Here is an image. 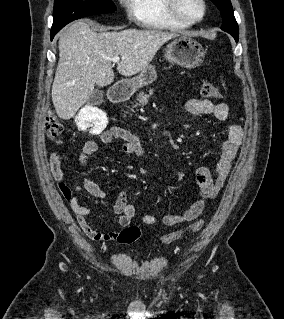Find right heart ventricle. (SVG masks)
<instances>
[{
    "label": "right heart ventricle",
    "mask_w": 284,
    "mask_h": 319,
    "mask_svg": "<svg viewBox=\"0 0 284 319\" xmlns=\"http://www.w3.org/2000/svg\"><path fill=\"white\" fill-rule=\"evenodd\" d=\"M135 20L147 29L179 30L188 27L169 14L166 0H135Z\"/></svg>",
    "instance_id": "1"
}]
</instances>
